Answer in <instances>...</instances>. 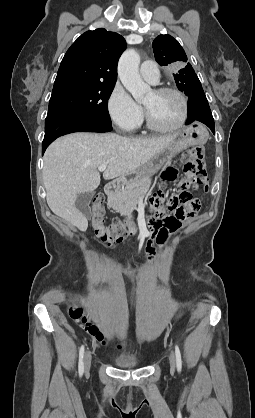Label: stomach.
Listing matches in <instances>:
<instances>
[{
  "instance_id": "1",
  "label": "stomach",
  "mask_w": 255,
  "mask_h": 418,
  "mask_svg": "<svg viewBox=\"0 0 255 418\" xmlns=\"http://www.w3.org/2000/svg\"><path fill=\"white\" fill-rule=\"evenodd\" d=\"M207 139L208 131L203 125L194 123L184 127L181 130L178 139L172 145L152 157L147 163L135 171V177H145L155 174L177 153L189 146L203 145L206 143Z\"/></svg>"
}]
</instances>
